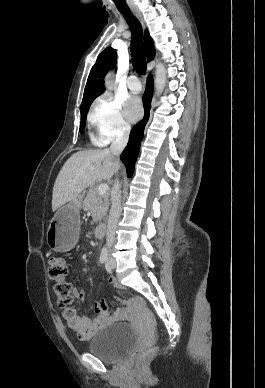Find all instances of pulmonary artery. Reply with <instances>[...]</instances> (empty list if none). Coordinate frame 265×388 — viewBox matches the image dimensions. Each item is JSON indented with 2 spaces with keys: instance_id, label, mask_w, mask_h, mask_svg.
Wrapping results in <instances>:
<instances>
[{
  "instance_id": "1",
  "label": "pulmonary artery",
  "mask_w": 265,
  "mask_h": 388,
  "mask_svg": "<svg viewBox=\"0 0 265 388\" xmlns=\"http://www.w3.org/2000/svg\"><path fill=\"white\" fill-rule=\"evenodd\" d=\"M128 80L130 82L129 88L133 94H138L140 92V85L137 82H140V75H129Z\"/></svg>"
}]
</instances>
